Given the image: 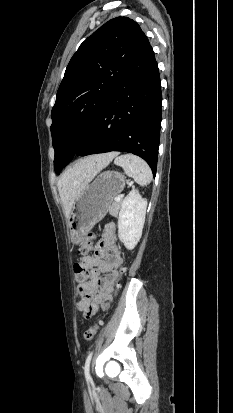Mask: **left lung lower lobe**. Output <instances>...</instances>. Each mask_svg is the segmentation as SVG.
I'll return each instance as SVG.
<instances>
[{
	"label": "left lung lower lobe",
	"mask_w": 233,
	"mask_h": 413,
	"mask_svg": "<svg viewBox=\"0 0 233 413\" xmlns=\"http://www.w3.org/2000/svg\"><path fill=\"white\" fill-rule=\"evenodd\" d=\"M161 102L159 69L145 37L77 155L110 151L133 153L149 164L155 176Z\"/></svg>",
	"instance_id": "0a47b994"
}]
</instances>
